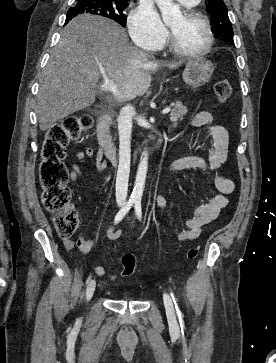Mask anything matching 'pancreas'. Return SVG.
<instances>
[{
	"label": "pancreas",
	"instance_id": "obj_1",
	"mask_svg": "<svg viewBox=\"0 0 276 363\" xmlns=\"http://www.w3.org/2000/svg\"><path fill=\"white\" fill-rule=\"evenodd\" d=\"M172 106L173 109L169 114L171 121H178V120L181 121L184 115L187 114L188 109L180 101H177L176 103L172 104Z\"/></svg>",
	"mask_w": 276,
	"mask_h": 363
}]
</instances>
